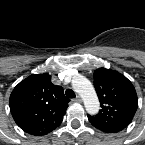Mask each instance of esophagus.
Segmentation results:
<instances>
[{"mask_svg":"<svg viewBox=\"0 0 145 145\" xmlns=\"http://www.w3.org/2000/svg\"><path fill=\"white\" fill-rule=\"evenodd\" d=\"M75 102L77 103H81L82 102V99L80 96H77L75 99H74Z\"/></svg>","mask_w":145,"mask_h":145,"instance_id":"34e87169","label":"esophagus"}]
</instances>
